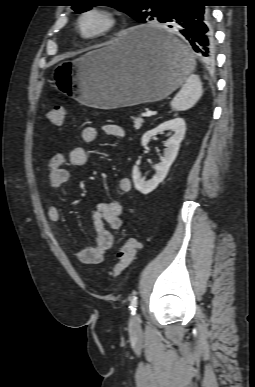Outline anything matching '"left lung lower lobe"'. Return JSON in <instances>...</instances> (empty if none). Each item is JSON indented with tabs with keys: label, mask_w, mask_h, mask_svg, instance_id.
<instances>
[{
	"label": "left lung lower lobe",
	"mask_w": 255,
	"mask_h": 387,
	"mask_svg": "<svg viewBox=\"0 0 255 387\" xmlns=\"http://www.w3.org/2000/svg\"><path fill=\"white\" fill-rule=\"evenodd\" d=\"M212 5V0H179L169 4L166 14L161 19V23H166L170 28L173 27L168 25L170 22L179 25V32L205 62H212L214 59L211 14L207 8ZM143 39L171 57L180 53L178 45L165 31L146 32Z\"/></svg>",
	"instance_id": "obj_1"
}]
</instances>
